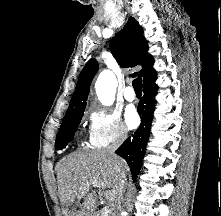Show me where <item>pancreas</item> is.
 <instances>
[{"instance_id": "cf45deb5", "label": "pancreas", "mask_w": 221, "mask_h": 216, "mask_svg": "<svg viewBox=\"0 0 221 216\" xmlns=\"http://www.w3.org/2000/svg\"><path fill=\"white\" fill-rule=\"evenodd\" d=\"M100 216H110V213L109 211H103Z\"/></svg>"}]
</instances>
